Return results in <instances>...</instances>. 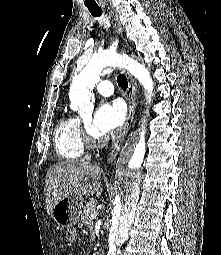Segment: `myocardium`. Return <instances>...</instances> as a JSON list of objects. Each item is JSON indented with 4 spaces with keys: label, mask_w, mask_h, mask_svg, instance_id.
Returning <instances> with one entry per match:
<instances>
[{
    "label": "myocardium",
    "mask_w": 221,
    "mask_h": 255,
    "mask_svg": "<svg viewBox=\"0 0 221 255\" xmlns=\"http://www.w3.org/2000/svg\"><path fill=\"white\" fill-rule=\"evenodd\" d=\"M83 135L89 148H99L106 142L104 137L93 134L88 125H84Z\"/></svg>",
    "instance_id": "myocardium-1"
}]
</instances>
